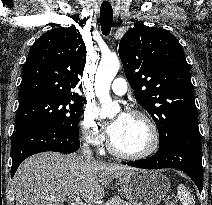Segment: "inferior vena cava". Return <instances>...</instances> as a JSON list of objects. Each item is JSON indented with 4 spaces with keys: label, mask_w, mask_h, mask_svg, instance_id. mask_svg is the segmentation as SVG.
Returning a JSON list of instances; mask_svg holds the SVG:
<instances>
[{
    "label": "inferior vena cava",
    "mask_w": 212,
    "mask_h": 205,
    "mask_svg": "<svg viewBox=\"0 0 212 205\" xmlns=\"http://www.w3.org/2000/svg\"><path fill=\"white\" fill-rule=\"evenodd\" d=\"M81 152L83 154V156L87 159V160H94L93 156H92V151L89 147L88 141L85 140L82 145H81Z\"/></svg>",
    "instance_id": "1"
}]
</instances>
